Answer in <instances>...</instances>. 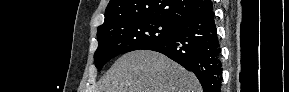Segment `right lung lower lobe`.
Returning <instances> with one entry per match:
<instances>
[{"label": "right lung lower lobe", "instance_id": "right-lung-lower-lobe-1", "mask_svg": "<svg viewBox=\"0 0 289 92\" xmlns=\"http://www.w3.org/2000/svg\"><path fill=\"white\" fill-rule=\"evenodd\" d=\"M143 49L160 52L192 71L204 92L220 91L221 50L213 8L183 19L173 36Z\"/></svg>", "mask_w": 289, "mask_h": 92}]
</instances>
